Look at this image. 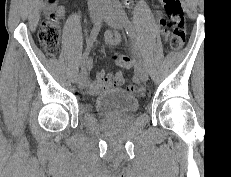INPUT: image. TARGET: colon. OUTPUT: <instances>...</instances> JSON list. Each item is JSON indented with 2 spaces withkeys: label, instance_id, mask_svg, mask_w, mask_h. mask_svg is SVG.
<instances>
[{
  "label": "colon",
  "instance_id": "5ec220e1",
  "mask_svg": "<svg viewBox=\"0 0 231 177\" xmlns=\"http://www.w3.org/2000/svg\"><path fill=\"white\" fill-rule=\"evenodd\" d=\"M56 0H47L48 4H54ZM168 22L164 18L159 19V23L165 27V34L168 37L170 48L173 51L179 50L185 43L186 30L180 0H162ZM39 41L45 53L49 57H54L60 44V26L55 13H50L42 21L38 33ZM113 59L118 62H129L130 59L122 54H116ZM132 90L136 87L132 86Z\"/></svg>",
  "mask_w": 231,
  "mask_h": 177
}]
</instances>
